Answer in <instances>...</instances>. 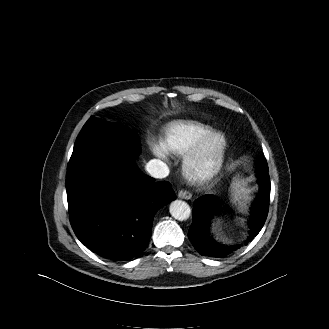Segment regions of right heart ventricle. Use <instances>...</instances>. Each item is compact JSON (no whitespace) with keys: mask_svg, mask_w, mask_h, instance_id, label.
<instances>
[{"mask_svg":"<svg viewBox=\"0 0 329 329\" xmlns=\"http://www.w3.org/2000/svg\"><path fill=\"white\" fill-rule=\"evenodd\" d=\"M212 131L210 126L202 123L174 121L165 127L161 146L167 153L181 156Z\"/></svg>","mask_w":329,"mask_h":329,"instance_id":"e07e8e85","label":"right heart ventricle"}]
</instances>
